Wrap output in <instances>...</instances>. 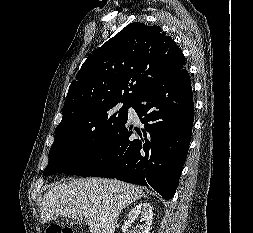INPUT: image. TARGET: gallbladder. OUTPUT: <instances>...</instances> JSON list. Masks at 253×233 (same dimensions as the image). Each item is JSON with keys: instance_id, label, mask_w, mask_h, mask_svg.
Masks as SVG:
<instances>
[{"instance_id": "gallbladder-1", "label": "gallbladder", "mask_w": 253, "mask_h": 233, "mask_svg": "<svg viewBox=\"0 0 253 233\" xmlns=\"http://www.w3.org/2000/svg\"><path fill=\"white\" fill-rule=\"evenodd\" d=\"M71 222H73V223H77V224H83L84 223V220L83 219H71L70 220Z\"/></svg>"}]
</instances>
